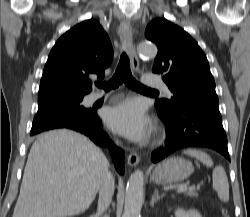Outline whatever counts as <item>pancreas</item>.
Masks as SVG:
<instances>
[{
    "label": "pancreas",
    "mask_w": 250,
    "mask_h": 217,
    "mask_svg": "<svg viewBox=\"0 0 250 217\" xmlns=\"http://www.w3.org/2000/svg\"><path fill=\"white\" fill-rule=\"evenodd\" d=\"M184 193L186 196H189V197H198V193L194 189H189L187 191H184Z\"/></svg>",
    "instance_id": "cf45deb5"
}]
</instances>
